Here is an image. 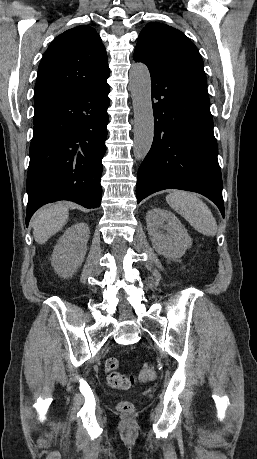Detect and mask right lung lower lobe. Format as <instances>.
<instances>
[{
  "instance_id": "98d812e1",
  "label": "right lung lower lobe",
  "mask_w": 257,
  "mask_h": 459,
  "mask_svg": "<svg viewBox=\"0 0 257 459\" xmlns=\"http://www.w3.org/2000/svg\"><path fill=\"white\" fill-rule=\"evenodd\" d=\"M109 92L105 80L84 91L34 104L26 225L46 203L70 200L86 208L100 206Z\"/></svg>"
}]
</instances>
